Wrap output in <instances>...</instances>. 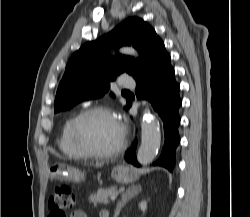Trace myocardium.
Wrapping results in <instances>:
<instances>
[{
  "label": "myocardium",
  "instance_id": "f54148a6",
  "mask_svg": "<svg viewBox=\"0 0 250 217\" xmlns=\"http://www.w3.org/2000/svg\"><path fill=\"white\" fill-rule=\"evenodd\" d=\"M96 113H103V114H107V115L114 117L115 119L118 120L121 126V131H122L121 140L115 148L109 151L101 152V151L93 150L89 148L88 146H86L80 137L81 122L87 116L96 114ZM70 134H71V139H72L73 144L82 153L84 157H90V158H96V159L111 158L120 154L125 149L126 144H127L126 130L124 126L120 123L114 111L106 105L89 106L83 109L80 113H78L72 121Z\"/></svg>",
  "mask_w": 250,
  "mask_h": 217
}]
</instances>
